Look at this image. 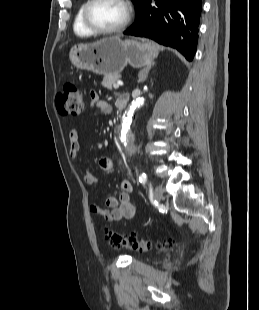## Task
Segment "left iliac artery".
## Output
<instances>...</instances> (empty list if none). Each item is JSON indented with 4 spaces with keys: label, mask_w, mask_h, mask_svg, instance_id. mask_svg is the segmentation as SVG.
Instances as JSON below:
<instances>
[{
    "label": "left iliac artery",
    "mask_w": 259,
    "mask_h": 310,
    "mask_svg": "<svg viewBox=\"0 0 259 310\" xmlns=\"http://www.w3.org/2000/svg\"><path fill=\"white\" fill-rule=\"evenodd\" d=\"M139 182L145 185L147 183V176L145 173H141L139 176Z\"/></svg>",
    "instance_id": "44dca946"
}]
</instances>
